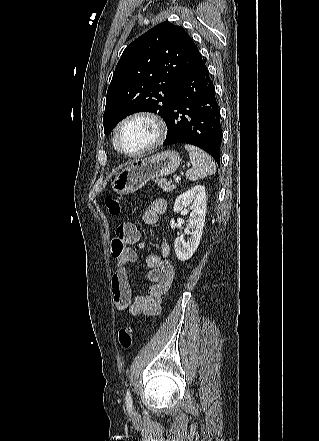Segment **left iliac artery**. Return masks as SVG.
Returning a JSON list of instances; mask_svg holds the SVG:
<instances>
[{
	"label": "left iliac artery",
	"mask_w": 319,
	"mask_h": 441,
	"mask_svg": "<svg viewBox=\"0 0 319 441\" xmlns=\"http://www.w3.org/2000/svg\"><path fill=\"white\" fill-rule=\"evenodd\" d=\"M125 400H126V406H127V408H128L129 410H132V409H133V401H132V397H131V393H130L129 389H128L127 392H126Z\"/></svg>",
	"instance_id": "obj_1"
}]
</instances>
